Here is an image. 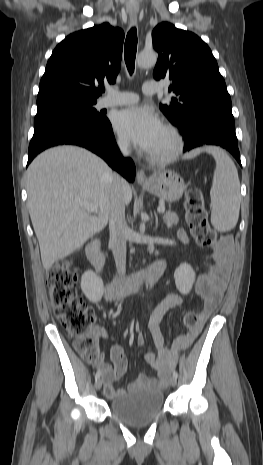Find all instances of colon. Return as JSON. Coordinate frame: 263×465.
<instances>
[{"label": "colon", "mask_w": 263, "mask_h": 465, "mask_svg": "<svg viewBox=\"0 0 263 465\" xmlns=\"http://www.w3.org/2000/svg\"><path fill=\"white\" fill-rule=\"evenodd\" d=\"M186 221L197 244L213 248L216 233L210 228L202 193L191 189L186 194ZM78 274L69 260L57 262L48 272L49 296L58 321L74 339L76 350L90 363L99 360L97 338L93 331L94 311L77 292ZM202 321L200 310L189 311L183 322L187 329H197Z\"/></svg>", "instance_id": "obj_1"}]
</instances>
